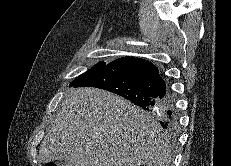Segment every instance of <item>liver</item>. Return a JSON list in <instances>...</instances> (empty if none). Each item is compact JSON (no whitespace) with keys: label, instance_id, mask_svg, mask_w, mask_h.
Instances as JSON below:
<instances>
[{"label":"liver","instance_id":"1","mask_svg":"<svg viewBox=\"0 0 231 166\" xmlns=\"http://www.w3.org/2000/svg\"><path fill=\"white\" fill-rule=\"evenodd\" d=\"M171 151L147 112L111 92L83 87L65 95L39 158L66 166H169Z\"/></svg>","mask_w":231,"mask_h":166}]
</instances>
